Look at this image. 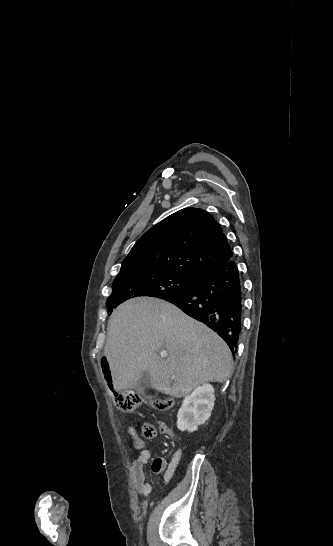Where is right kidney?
Listing matches in <instances>:
<instances>
[{"label":"right kidney","instance_id":"obj_1","mask_svg":"<svg viewBox=\"0 0 333 546\" xmlns=\"http://www.w3.org/2000/svg\"><path fill=\"white\" fill-rule=\"evenodd\" d=\"M214 388L210 384L197 387L183 400L177 414V427L180 431L194 432L210 417L214 407Z\"/></svg>","mask_w":333,"mask_h":546}]
</instances>
